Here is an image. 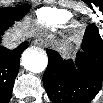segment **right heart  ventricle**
Listing matches in <instances>:
<instances>
[{
    "instance_id": "right-heart-ventricle-1",
    "label": "right heart ventricle",
    "mask_w": 103,
    "mask_h": 103,
    "mask_svg": "<svg viewBox=\"0 0 103 103\" xmlns=\"http://www.w3.org/2000/svg\"><path fill=\"white\" fill-rule=\"evenodd\" d=\"M35 17L37 24L43 28H58L71 18V13L64 9L46 7L38 10Z\"/></svg>"
}]
</instances>
